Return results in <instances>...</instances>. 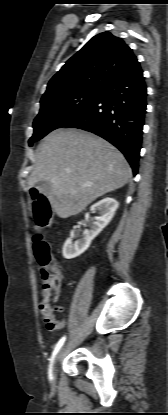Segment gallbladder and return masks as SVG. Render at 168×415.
<instances>
[{
    "label": "gallbladder",
    "mask_w": 168,
    "mask_h": 415,
    "mask_svg": "<svg viewBox=\"0 0 168 415\" xmlns=\"http://www.w3.org/2000/svg\"><path fill=\"white\" fill-rule=\"evenodd\" d=\"M37 188L41 193L48 195L51 191L52 185L49 181H40L37 183Z\"/></svg>",
    "instance_id": "gallbladder-1"
}]
</instances>
